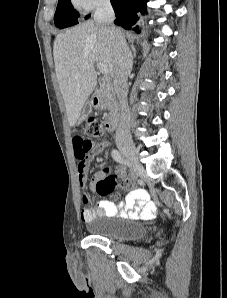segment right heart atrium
<instances>
[{"instance_id":"d8ad5b80","label":"right heart atrium","mask_w":227,"mask_h":298,"mask_svg":"<svg viewBox=\"0 0 227 298\" xmlns=\"http://www.w3.org/2000/svg\"><path fill=\"white\" fill-rule=\"evenodd\" d=\"M71 2L77 10L87 13L106 5L109 0H71Z\"/></svg>"}]
</instances>
